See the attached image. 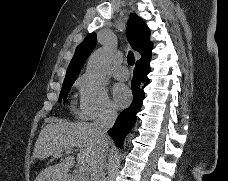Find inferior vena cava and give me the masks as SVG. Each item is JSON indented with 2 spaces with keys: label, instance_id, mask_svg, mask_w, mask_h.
<instances>
[{
  "label": "inferior vena cava",
  "instance_id": "inferior-vena-cava-1",
  "mask_svg": "<svg viewBox=\"0 0 228 181\" xmlns=\"http://www.w3.org/2000/svg\"><path fill=\"white\" fill-rule=\"evenodd\" d=\"M116 117L117 113L110 105H106L103 111L97 115L93 125L98 139H108L107 131L113 127ZM107 157L108 147H102L101 151L94 157L90 165L91 181H105L103 171L105 169Z\"/></svg>",
  "mask_w": 228,
  "mask_h": 181
}]
</instances>
